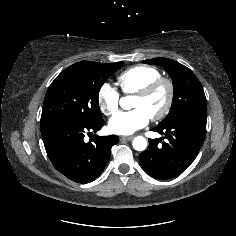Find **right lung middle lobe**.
Here are the masks:
<instances>
[{"mask_svg": "<svg viewBox=\"0 0 236 236\" xmlns=\"http://www.w3.org/2000/svg\"><path fill=\"white\" fill-rule=\"evenodd\" d=\"M123 63L78 62L66 68L47 90L40 126L58 119H73L87 124L101 121L100 88Z\"/></svg>", "mask_w": 236, "mask_h": 236, "instance_id": "right-lung-middle-lobe-1", "label": "right lung middle lobe"}]
</instances>
